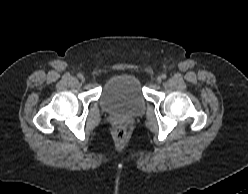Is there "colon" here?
Wrapping results in <instances>:
<instances>
[{
  "mask_svg": "<svg viewBox=\"0 0 248 194\" xmlns=\"http://www.w3.org/2000/svg\"><path fill=\"white\" fill-rule=\"evenodd\" d=\"M126 138V131L122 126L117 127L115 130V139L118 142H123Z\"/></svg>",
  "mask_w": 248,
  "mask_h": 194,
  "instance_id": "5ec220e1",
  "label": "colon"
}]
</instances>
